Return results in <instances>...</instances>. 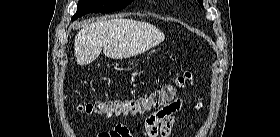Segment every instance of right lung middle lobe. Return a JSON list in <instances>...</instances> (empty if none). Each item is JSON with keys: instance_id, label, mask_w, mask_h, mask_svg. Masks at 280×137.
<instances>
[{"instance_id": "obj_1", "label": "right lung middle lobe", "mask_w": 280, "mask_h": 137, "mask_svg": "<svg viewBox=\"0 0 280 137\" xmlns=\"http://www.w3.org/2000/svg\"><path fill=\"white\" fill-rule=\"evenodd\" d=\"M133 0H79L75 20L87 13H110L125 8Z\"/></svg>"}]
</instances>
